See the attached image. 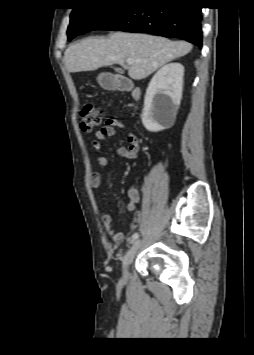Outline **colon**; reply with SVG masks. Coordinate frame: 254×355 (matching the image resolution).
I'll use <instances>...</instances> for the list:
<instances>
[{
	"mask_svg": "<svg viewBox=\"0 0 254 355\" xmlns=\"http://www.w3.org/2000/svg\"><path fill=\"white\" fill-rule=\"evenodd\" d=\"M102 121V109L94 103H87L80 111V125L84 131H91Z\"/></svg>",
	"mask_w": 254,
	"mask_h": 355,
	"instance_id": "colon-1",
	"label": "colon"
}]
</instances>
